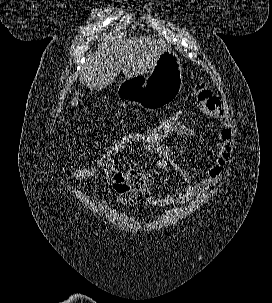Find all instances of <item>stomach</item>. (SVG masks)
I'll use <instances>...</instances> for the list:
<instances>
[{
	"instance_id": "0dacf381",
	"label": "stomach",
	"mask_w": 272,
	"mask_h": 303,
	"mask_svg": "<svg viewBox=\"0 0 272 303\" xmlns=\"http://www.w3.org/2000/svg\"><path fill=\"white\" fill-rule=\"evenodd\" d=\"M183 87L181 62L171 49L164 51L148 75L122 81L117 94L120 98L154 109L174 100Z\"/></svg>"
}]
</instances>
